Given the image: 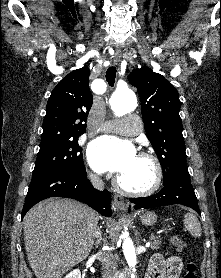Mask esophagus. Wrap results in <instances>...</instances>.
I'll return each mask as SVG.
<instances>
[{
	"label": "esophagus",
	"mask_w": 221,
	"mask_h": 278,
	"mask_svg": "<svg viewBox=\"0 0 221 278\" xmlns=\"http://www.w3.org/2000/svg\"><path fill=\"white\" fill-rule=\"evenodd\" d=\"M120 57H121V51L116 50L115 53H114V56H113V60H114L115 64L119 63ZM113 202H114V205L116 206V208H118L120 210H125L126 209L125 199L122 195L114 194Z\"/></svg>",
	"instance_id": "esophagus-1"
}]
</instances>
